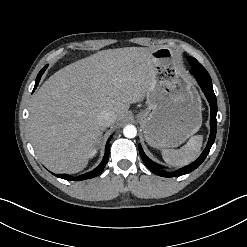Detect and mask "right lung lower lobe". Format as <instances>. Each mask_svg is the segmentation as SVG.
I'll return each instance as SVG.
<instances>
[{
    "mask_svg": "<svg viewBox=\"0 0 247 247\" xmlns=\"http://www.w3.org/2000/svg\"><path fill=\"white\" fill-rule=\"evenodd\" d=\"M46 68H47V65L37 75L34 90L38 86L40 78H41L42 74L44 73V71L46 70ZM110 139H111V137L109 138V140L107 142L105 155H104V158H103L101 164L96 169H94L93 171L79 175V176H76V177L70 176L68 174H54V175L58 178H62V179L68 180V181H80V180H85V179L93 178V177L100 175L102 173L105 165L107 164L108 159H109L110 144H108V143H109Z\"/></svg>",
    "mask_w": 247,
    "mask_h": 247,
    "instance_id": "obj_1",
    "label": "right lung lower lobe"
}]
</instances>
